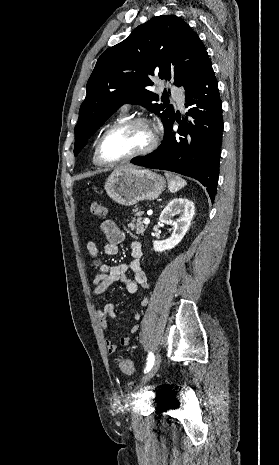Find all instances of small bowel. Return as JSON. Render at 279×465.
I'll return each mask as SVG.
<instances>
[{
    "label": "small bowel",
    "instance_id": "small-bowel-1",
    "mask_svg": "<svg viewBox=\"0 0 279 465\" xmlns=\"http://www.w3.org/2000/svg\"><path fill=\"white\" fill-rule=\"evenodd\" d=\"M101 231L106 236V243L103 247V252L106 255H116L119 251V244L124 241V233L117 227L114 221L105 220L101 223ZM86 248L90 256L93 258L94 267L98 268V272L95 274L93 279V293L95 295L103 294L109 286L117 282H124L126 290L130 294H135L138 292L139 288L148 289L149 283L147 275L142 268L140 263V258L142 256V246L138 241L130 242V251H131V260L128 263H121L117 265H105L102 264L99 260V249L95 241L90 240L86 244ZM132 273V278H127V272ZM142 305H147V299H143ZM114 305L106 304L97 312V318L100 326L103 329H106L108 319L113 318ZM140 314H135V319H140ZM139 326L134 325L130 332L134 333L138 330ZM130 343V336H125L121 338L120 344L122 346H127ZM105 345L107 352L113 354L117 350V345L109 338L105 339Z\"/></svg>",
    "mask_w": 279,
    "mask_h": 465
}]
</instances>
